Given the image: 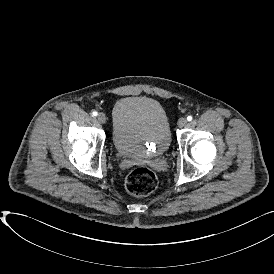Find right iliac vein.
<instances>
[{
    "instance_id": "1",
    "label": "right iliac vein",
    "mask_w": 274,
    "mask_h": 274,
    "mask_svg": "<svg viewBox=\"0 0 274 274\" xmlns=\"http://www.w3.org/2000/svg\"><path fill=\"white\" fill-rule=\"evenodd\" d=\"M97 119L101 124H104L106 122V116L104 113H99Z\"/></svg>"
}]
</instances>
